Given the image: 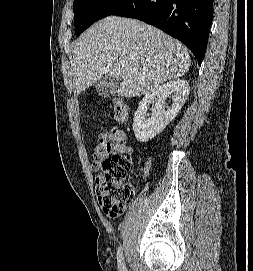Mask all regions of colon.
I'll use <instances>...</instances> for the list:
<instances>
[{
  "label": "colon",
  "instance_id": "colon-1",
  "mask_svg": "<svg viewBox=\"0 0 253 271\" xmlns=\"http://www.w3.org/2000/svg\"><path fill=\"white\" fill-rule=\"evenodd\" d=\"M113 113L117 122L128 121V108L120 98L113 99ZM130 167L128 155L115 154L104 158L97 170L96 194L102 209L111 218L120 216L135 195L134 186L126 181Z\"/></svg>",
  "mask_w": 253,
  "mask_h": 271
}]
</instances>
